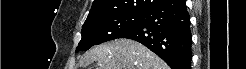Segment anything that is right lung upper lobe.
Masks as SVG:
<instances>
[{"label": "right lung upper lobe", "instance_id": "1", "mask_svg": "<svg viewBox=\"0 0 246 69\" xmlns=\"http://www.w3.org/2000/svg\"><path fill=\"white\" fill-rule=\"evenodd\" d=\"M163 1L165 0H94L86 21L120 14H142Z\"/></svg>", "mask_w": 246, "mask_h": 69}]
</instances>
